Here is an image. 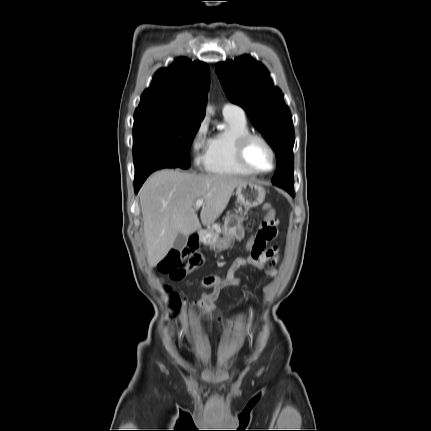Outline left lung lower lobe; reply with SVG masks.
<instances>
[{
  "label": "left lung lower lobe",
  "mask_w": 431,
  "mask_h": 431,
  "mask_svg": "<svg viewBox=\"0 0 431 431\" xmlns=\"http://www.w3.org/2000/svg\"><path fill=\"white\" fill-rule=\"evenodd\" d=\"M292 196H294V191H288Z\"/></svg>",
  "instance_id": "1"
}]
</instances>
